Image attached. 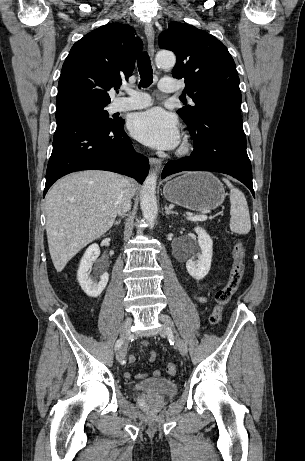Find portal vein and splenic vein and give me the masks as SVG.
<instances>
[{
  "label": "portal vein and splenic vein",
  "mask_w": 305,
  "mask_h": 461,
  "mask_svg": "<svg viewBox=\"0 0 305 461\" xmlns=\"http://www.w3.org/2000/svg\"><path fill=\"white\" fill-rule=\"evenodd\" d=\"M207 219H208V216L206 214H199V215L187 217V220L189 221H205Z\"/></svg>",
  "instance_id": "18ae733b"
}]
</instances>
